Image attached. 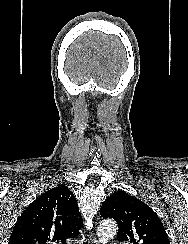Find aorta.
Segmentation results:
<instances>
[{
	"instance_id": "762f6f07",
	"label": "aorta",
	"mask_w": 188,
	"mask_h": 244,
	"mask_svg": "<svg viewBox=\"0 0 188 244\" xmlns=\"http://www.w3.org/2000/svg\"><path fill=\"white\" fill-rule=\"evenodd\" d=\"M117 232V224L111 219L103 220L97 229V236L101 243L105 244Z\"/></svg>"
}]
</instances>
